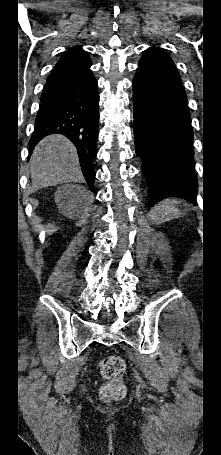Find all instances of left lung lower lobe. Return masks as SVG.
<instances>
[{
	"label": "left lung lower lobe",
	"instance_id": "left-lung-lower-lobe-1",
	"mask_svg": "<svg viewBox=\"0 0 221 455\" xmlns=\"http://www.w3.org/2000/svg\"><path fill=\"white\" fill-rule=\"evenodd\" d=\"M136 154L149 187V206L171 196L195 204L193 129L186 93L172 74L139 65L133 79Z\"/></svg>",
	"mask_w": 221,
	"mask_h": 455
}]
</instances>
